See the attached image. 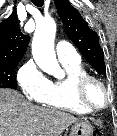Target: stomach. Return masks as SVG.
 I'll return each instance as SVG.
<instances>
[{
	"instance_id": "1",
	"label": "stomach",
	"mask_w": 117,
	"mask_h": 136,
	"mask_svg": "<svg viewBox=\"0 0 117 136\" xmlns=\"http://www.w3.org/2000/svg\"><path fill=\"white\" fill-rule=\"evenodd\" d=\"M93 128L88 122H77L71 127L70 136H92Z\"/></svg>"
}]
</instances>
